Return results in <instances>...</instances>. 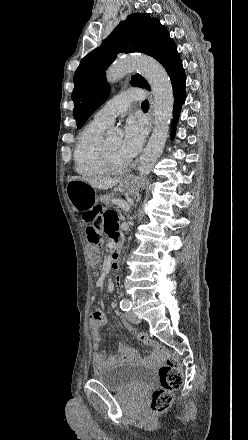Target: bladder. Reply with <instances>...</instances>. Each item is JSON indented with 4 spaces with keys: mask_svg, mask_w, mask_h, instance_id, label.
Listing matches in <instances>:
<instances>
[{
    "mask_svg": "<svg viewBox=\"0 0 248 440\" xmlns=\"http://www.w3.org/2000/svg\"><path fill=\"white\" fill-rule=\"evenodd\" d=\"M95 379L115 391L135 390L143 392L150 388L154 372L150 367L120 362L103 368L94 375Z\"/></svg>",
    "mask_w": 248,
    "mask_h": 440,
    "instance_id": "obj_1",
    "label": "bladder"
}]
</instances>
